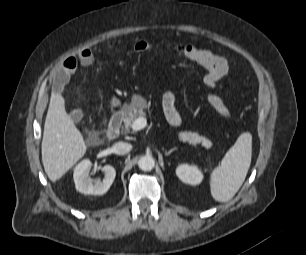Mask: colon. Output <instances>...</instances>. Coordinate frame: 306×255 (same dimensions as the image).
Instances as JSON below:
<instances>
[{
    "label": "colon",
    "mask_w": 306,
    "mask_h": 255,
    "mask_svg": "<svg viewBox=\"0 0 306 255\" xmlns=\"http://www.w3.org/2000/svg\"><path fill=\"white\" fill-rule=\"evenodd\" d=\"M181 46L182 49L177 50L180 54L199 64L207 71L204 83L208 90L207 100L210 105L222 117L231 119L233 117L232 112L215 91L217 83L225 76L228 70L225 59L191 43H182ZM133 50L139 54L145 53L149 50V44L143 40L136 41L133 45Z\"/></svg>",
    "instance_id": "obj_1"
}]
</instances>
